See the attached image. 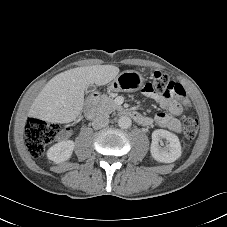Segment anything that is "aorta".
Returning <instances> with one entry per match:
<instances>
[{"mask_svg":"<svg viewBox=\"0 0 227 227\" xmlns=\"http://www.w3.org/2000/svg\"><path fill=\"white\" fill-rule=\"evenodd\" d=\"M132 125V120L128 116H121L118 119V126L122 129H127Z\"/></svg>","mask_w":227,"mask_h":227,"instance_id":"obj_1","label":"aorta"}]
</instances>
